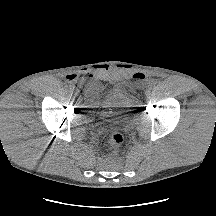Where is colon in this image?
Here are the masks:
<instances>
[{
  "instance_id": "colon-1",
  "label": "colon",
  "mask_w": 216,
  "mask_h": 216,
  "mask_svg": "<svg viewBox=\"0 0 216 216\" xmlns=\"http://www.w3.org/2000/svg\"><path fill=\"white\" fill-rule=\"evenodd\" d=\"M123 140L124 138H123L122 133L115 130L109 134V136L106 139L105 144L107 147L111 149H117L122 145Z\"/></svg>"
}]
</instances>
